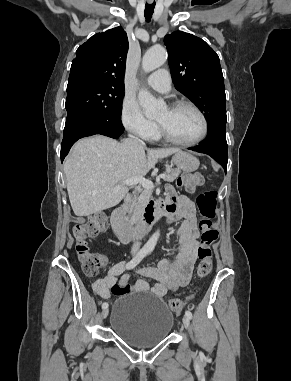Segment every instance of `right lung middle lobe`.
<instances>
[{"instance_id": "right-lung-middle-lobe-1", "label": "right lung middle lobe", "mask_w": 291, "mask_h": 381, "mask_svg": "<svg viewBox=\"0 0 291 381\" xmlns=\"http://www.w3.org/2000/svg\"><path fill=\"white\" fill-rule=\"evenodd\" d=\"M123 86L74 81L67 85V118H77L90 126L102 121L120 120Z\"/></svg>"}]
</instances>
